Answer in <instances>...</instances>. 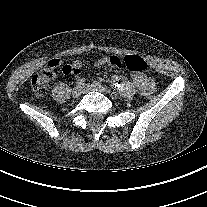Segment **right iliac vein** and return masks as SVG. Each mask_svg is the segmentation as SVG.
I'll return each instance as SVG.
<instances>
[{"label": "right iliac vein", "instance_id": "obj_1", "mask_svg": "<svg viewBox=\"0 0 207 207\" xmlns=\"http://www.w3.org/2000/svg\"><path fill=\"white\" fill-rule=\"evenodd\" d=\"M82 93V89L80 86H75L72 90V97L78 98Z\"/></svg>", "mask_w": 207, "mask_h": 207}]
</instances>
